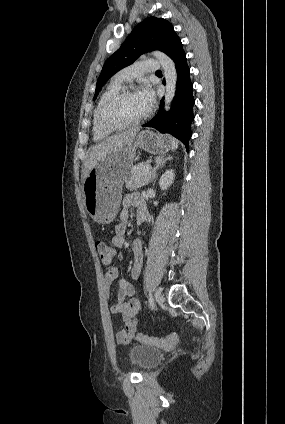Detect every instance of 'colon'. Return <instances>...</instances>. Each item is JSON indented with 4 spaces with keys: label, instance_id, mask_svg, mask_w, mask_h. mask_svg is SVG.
<instances>
[{
    "label": "colon",
    "instance_id": "colon-1",
    "mask_svg": "<svg viewBox=\"0 0 285 424\" xmlns=\"http://www.w3.org/2000/svg\"><path fill=\"white\" fill-rule=\"evenodd\" d=\"M96 251L99 256V260L102 264L108 265L112 262L115 255V250L112 246L105 242H96ZM136 339L144 343L159 344L162 346L174 345L179 341V335L176 333L170 334L164 338H156L139 333L136 335Z\"/></svg>",
    "mask_w": 285,
    "mask_h": 424
}]
</instances>
